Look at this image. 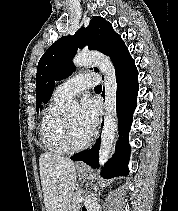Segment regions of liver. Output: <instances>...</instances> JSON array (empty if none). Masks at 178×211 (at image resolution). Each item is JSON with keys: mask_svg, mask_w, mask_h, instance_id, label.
I'll list each match as a JSON object with an SVG mask.
<instances>
[{"mask_svg": "<svg viewBox=\"0 0 178 211\" xmlns=\"http://www.w3.org/2000/svg\"><path fill=\"white\" fill-rule=\"evenodd\" d=\"M39 166L46 211H68L77 179L74 162L45 152Z\"/></svg>", "mask_w": 178, "mask_h": 211, "instance_id": "1", "label": "liver"}]
</instances>
